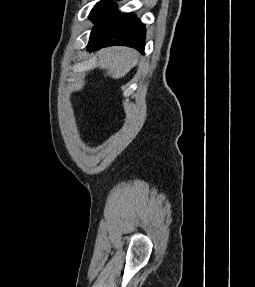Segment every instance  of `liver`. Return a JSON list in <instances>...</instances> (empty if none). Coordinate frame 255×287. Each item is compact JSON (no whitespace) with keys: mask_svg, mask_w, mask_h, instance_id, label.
<instances>
[{"mask_svg":"<svg viewBox=\"0 0 255 287\" xmlns=\"http://www.w3.org/2000/svg\"><path fill=\"white\" fill-rule=\"evenodd\" d=\"M138 52L132 48H106L99 54L102 70H110L112 78H124L137 64Z\"/></svg>","mask_w":255,"mask_h":287,"instance_id":"obj_1","label":"liver"}]
</instances>
